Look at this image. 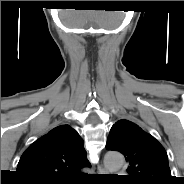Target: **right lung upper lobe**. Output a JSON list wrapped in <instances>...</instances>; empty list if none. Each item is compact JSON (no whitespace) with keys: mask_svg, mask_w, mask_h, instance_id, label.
<instances>
[{"mask_svg":"<svg viewBox=\"0 0 184 184\" xmlns=\"http://www.w3.org/2000/svg\"><path fill=\"white\" fill-rule=\"evenodd\" d=\"M91 167L84 143L69 125H60L32 143L20 158L17 172L27 182L55 184L73 181Z\"/></svg>","mask_w":184,"mask_h":184,"instance_id":"cb5924a9","label":"right lung upper lobe"}]
</instances>
